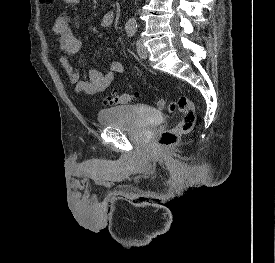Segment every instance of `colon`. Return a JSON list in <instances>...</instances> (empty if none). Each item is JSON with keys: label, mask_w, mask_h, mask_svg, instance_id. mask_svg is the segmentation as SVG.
Returning <instances> with one entry per match:
<instances>
[{"label": "colon", "mask_w": 275, "mask_h": 263, "mask_svg": "<svg viewBox=\"0 0 275 263\" xmlns=\"http://www.w3.org/2000/svg\"><path fill=\"white\" fill-rule=\"evenodd\" d=\"M45 5H53L55 0H41ZM137 93L128 91L124 93H111L104 98V102L109 105H120L134 103ZM159 109H167L170 113H180L182 115L179 123L163 131L158 138V145L162 147H172L176 145L181 136L192 131L196 123V112L193 102L185 96L170 102L160 98L157 100Z\"/></svg>", "instance_id": "obj_1"}]
</instances>
